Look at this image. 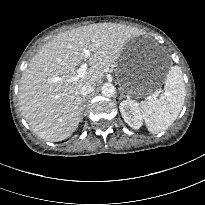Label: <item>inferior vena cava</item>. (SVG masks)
<instances>
[{
  "label": "inferior vena cava",
  "instance_id": "inferior-vena-cava-1",
  "mask_svg": "<svg viewBox=\"0 0 205 205\" xmlns=\"http://www.w3.org/2000/svg\"><path fill=\"white\" fill-rule=\"evenodd\" d=\"M95 89V83H87L83 85L80 89V94L82 97H86L88 94L92 93Z\"/></svg>",
  "mask_w": 205,
  "mask_h": 205
}]
</instances>
